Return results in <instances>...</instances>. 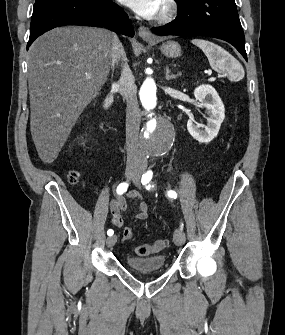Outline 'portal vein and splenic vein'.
Returning a JSON list of instances; mask_svg holds the SVG:
<instances>
[{
	"label": "portal vein and splenic vein",
	"instance_id": "18ae733b",
	"mask_svg": "<svg viewBox=\"0 0 285 335\" xmlns=\"http://www.w3.org/2000/svg\"><path fill=\"white\" fill-rule=\"evenodd\" d=\"M85 78H88V80H90L91 74H85Z\"/></svg>",
	"mask_w": 285,
	"mask_h": 335
}]
</instances>
